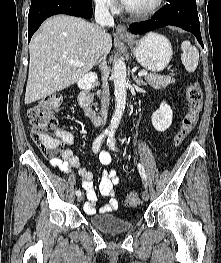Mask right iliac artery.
Listing matches in <instances>:
<instances>
[{"label": "right iliac artery", "mask_w": 221, "mask_h": 263, "mask_svg": "<svg viewBox=\"0 0 221 263\" xmlns=\"http://www.w3.org/2000/svg\"><path fill=\"white\" fill-rule=\"evenodd\" d=\"M107 136V133H102L100 136H98L95 141L93 142V146H92V149H93V152L97 153L101 147V144L104 140V138ZM81 194V191L80 190H77L76 191V195H80Z\"/></svg>", "instance_id": "obj_1"}]
</instances>
